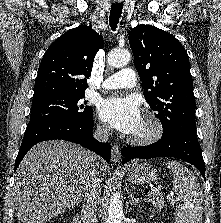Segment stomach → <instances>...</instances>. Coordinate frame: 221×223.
Segmentation results:
<instances>
[{
	"label": "stomach",
	"mask_w": 221,
	"mask_h": 223,
	"mask_svg": "<svg viewBox=\"0 0 221 223\" xmlns=\"http://www.w3.org/2000/svg\"><path fill=\"white\" fill-rule=\"evenodd\" d=\"M127 177L133 184H146L157 179V171L147 163L134 164L128 168Z\"/></svg>",
	"instance_id": "obj_1"
}]
</instances>
